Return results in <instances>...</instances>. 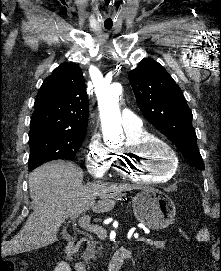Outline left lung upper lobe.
<instances>
[{
	"mask_svg": "<svg viewBox=\"0 0 221 271\" xmlns=\"http://www.w3.org/2000/svg\"><path fill=\"white\" fill-rule=\"evenodd\" d=\"M129 80L146 119L173 142L194 167L204 170L192 127V112L170 74L155 60L146 59L130 71Z\"/></svg>",
	"mask_w": 221,
	"mask_h": 271,
	"instance_id": "obj_1",
	"label": "left lung upper lobe"
}]
</instances>
